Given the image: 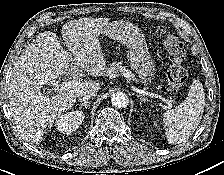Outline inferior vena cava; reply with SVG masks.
Segmentation results:
<instances>
[{
    "label": "inferior vena cava",
    "mask_w": 224,
    "mask_h": 175,
    "mask_svg": "<svg viewBox=\"0 0 224 175\" xmlns=\"http://www.w3.org/2000/svg\"><path fill=\"white\" fill-rule=\"evenodd\" d=\"M96 95H97V92L95 90L80 91L77 94V98L79 101L87 102L95 98Z\"/></svg>",
    "instance_id": "inferior-vena-cava-1"
}]
</instances>
